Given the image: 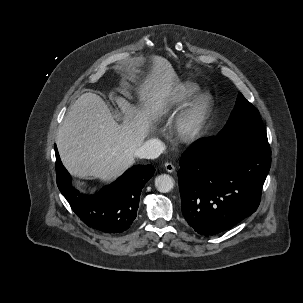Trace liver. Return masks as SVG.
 <instances>
[{
	"instance_id": "liver-1",
	"label": "liver",
	"mask_w": 303,
	"mask_h": 303,
	"mask_svg": "<svg viewBox=\"0 0 303 303\" xmlns=\"http://www.w3.org/2000/svg\"><path fill=\"white\" fill-rule=\"evenodd\" d=\"M151 74L139 91L145 109L138 110L126 99H114L124 114L116 122L103 99L82 94L69 109L57 132L56 144L61 161L75 176H93L110 182L135 162V151L152 130L153 120L164 113L166 99L177 75L166 60L155 57Z\"/></svg>"
}]
</instances>
